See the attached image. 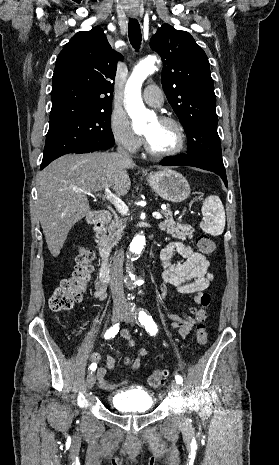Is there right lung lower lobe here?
I'll list each match as a JSON object with an SVG mask.
<instances>
[{"instance_id":"98d812e1","label":"right lung lower lobe","mask_w":279,"mask_h":465,"mask_svg":"<svg viewBox=\"0 0 279 465\" xmlns=\"http://www.w3.org/2000/svg\"><path fill=\"white\" fill-rule=\"evenodd\" d=\"M103 149H108V146H84L72 153H90V152H94V151H98V150H103ZM49 164V163H48ZM48 164H41L40 166V169L42 170L43 168H45Z\"/></svg>"}]
</instances>
